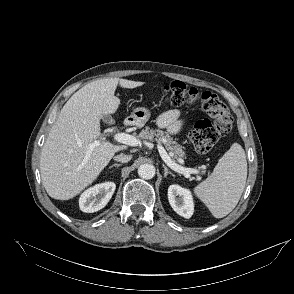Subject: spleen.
<instances>
[{
	"label": "spleen",
	"mask_w": 294,
	"mask_h": 294,
	"mask_svg": "<svg viewBox=\"0 0 294 294\" xmlns=\"http://www.w3.org/2000/svg\"><path fill=\"white\" fill-rule=\"evenodd\" d=\"M246 178L245 151L235 143L219 160L211 176L194 188V193L214 217L223 218L239 202Z\"/></svg>",
	"instance_id": "1"
}]
</instances>
